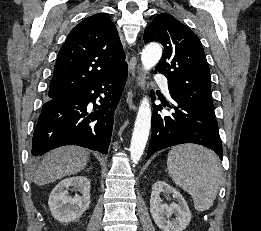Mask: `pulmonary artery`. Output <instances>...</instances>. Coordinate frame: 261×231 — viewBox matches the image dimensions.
I'll return each instance as SVG.
<instances>
[{"label":"pulmonary artery","instance_id":"obj_1","mask_svg":"<svg viewBox=\"0 0 261 231\" xmlns=\"http://www.w3.org/2000/svg\"><path fill=\"white\" fill-rule=\"evenodd\" d=\"M154 81L156 84H158L162 89L168 93V80L166 76L163 74H157L156 77L154 78Z\"/></svg>","mask_w":261,"mask_h":231}]
</instances>
